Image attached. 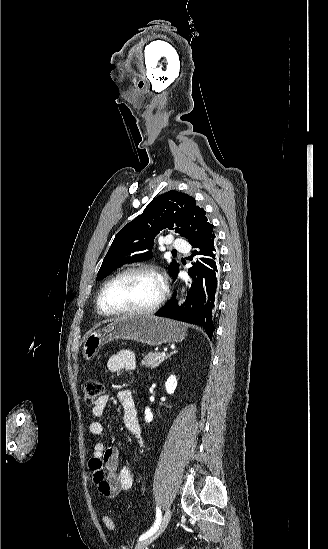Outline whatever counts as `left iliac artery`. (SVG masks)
<instances>
[{
    "mask_svg": "<svg viewBox=\"0 0 328 549\" xmlns=\"http://www.w3.org/2000/svg\"><path fill=\"white\" fill-rule=\"evenodd\" d=\"M161 519H162L161 510L159 509V507H157L156 508V520H155L154 525L150 528V530H148L146 533H144L143 535L140 536L139 541H142L145 538H147L148 536L152 535L157 530V528H158V526L161 522Z\"/></svg>",
    "mask_w": 328,
    "mask_h": 549,
    "instance_id": "obj_1",
    "label": "left iliac artery"
}]
</instances>
